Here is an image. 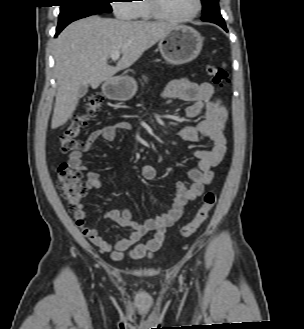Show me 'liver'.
I'll return each instance as SVG.
<instances>
[{
    "instance_id": "obj_1",
    "label": "liver",
    "mask_w": 304,
    "mask_h": 329,
    "mask_svg": "<svg viewBox=\"0 0 304 329\" xmlns=\"http://www.w3.org/2000/svg\"><path fill=\"white\" fill-rule=\"evenodd\" d=\"M174 24L122 21L91 16L68 25L55 40V74L58 82L51 128L71 118L78 105L79 87L97 88L165 37ZM114 52L122 54L116 66L108 65Z\"/></svg>"
}]
</instances>
